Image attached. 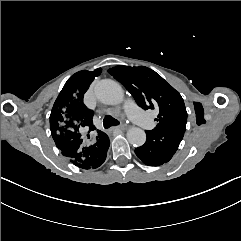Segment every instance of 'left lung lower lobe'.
I'll use <instances>...</instances> for the list:
<instances>
[{"instance_id": "1", "label": "left lung lower lobe", "mask_w": 241, "mask_h": 241, "mask_svg": "<svg viewBox=\"0 0 241 241\" xmlns=\"http://www.w3.org/2000/svg\"><path fill=\"white\" fill-rule=\"evenodd\" d=\"M186 124L146 131L144 145L135 149L136 155L149 166H159L168 162L178 149L184 136Z\"/></svg>"}]
</instances>
